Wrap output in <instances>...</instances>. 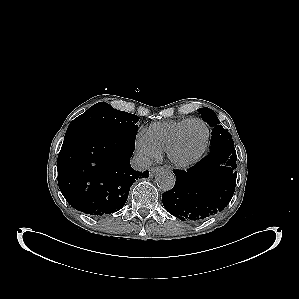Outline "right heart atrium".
Instances as JSON below:
<instances>
[{
	"label": "right heart atrium",
	"instance_id": "obj_1",
	"mask_svg": "<svg viewBox=\"0 0 299 299\" xmlns=\"http://www.w3.org/2000/svg\"><path fill=\"white\" fill-rule=\"evenodd\" d=\"M136 153L140 160L147 163L159 156V153L153 149L142 135H140L136 142Z\"/></svg>",
	"mask_w": 299,
	"mask_h": 299
}]
</instances>
